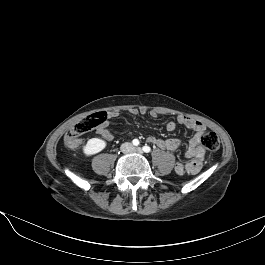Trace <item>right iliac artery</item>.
Returning a JSON list of instances; mask_svg holds the SVG:
<instances>
[{
  "label": "right iliac artery",
  "mask_w": 265,
  "mask_h": 265,
  "mask_svg": "<svg viewBox=\"0 0 265 265\" xmlns=\"http://www.w3.org/2000/svg\"><path fill=\"white\" fill-rule=\"evenodd\" d=\"M132 143H133L134 146H138V145L140 144V142H139L138 139H134V140L132 141Z\"/></svg>",
  "instance_id": "right-iliac-artery-1"
}]
</instances>
